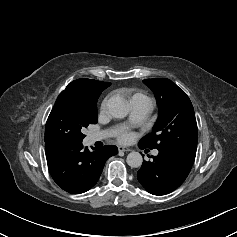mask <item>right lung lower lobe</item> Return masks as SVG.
<instances>
[{
    "instance_id": "98d812e1",
    "label": "right lung lower lobe",
    "mask_w": 237,
    "mask_h": 237,
    "mask_svg": "<svg viewBox=\"0 0 237 237\" xmlns=\"http://www.w3.org/2000/svg\"><path fill=\"white\" fill-rule=\"evenodd\" d=\"M48 169L63 190L79 194L88 191L98 181L106 160L117 154L114 145L93 152L81 143L60 140L45 141Z\"/></svg>"
}]
</instances>
